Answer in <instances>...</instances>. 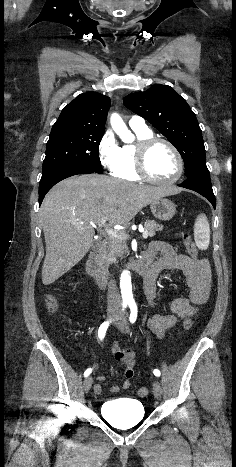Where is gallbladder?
I'll list each match as a JSON object with an SVG mask.
<instances>
[{"instance_id":"bac80fb5","label":"gallbladder","mask_w":236,"mask_h":467,"mask_svg":"<svg viewBox=\"0 0 236 467\" xmlns=\"http://www.w3.org/2000/svg\"><path fill=\"white\" fill-rule=\"evenodd\" d=\"M97 246H98V241H94V243L92 244V248L95 249L97 248Z\"/></svg>"}]
</instances>
